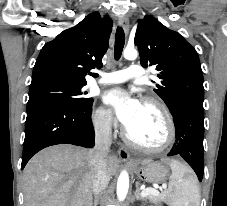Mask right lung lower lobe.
<instances>
[{
	"instance_id": "98d812e1",
	"label": "right lung lower lobe",
	"mask_w": 227,
	"mask_h": 206,
	"mask_svg": "<svg viewBox=\"0 0 227 206\" xmlns=\"http://www.w3.org/2000/svg\"><path fill=\"white\" fill-rule=\"evenodd\" d=\"M92 104L83 108L44 104L27 110L21 169L48 146L66 143L92 148Z\"/></svg>"
}]
</instances>
